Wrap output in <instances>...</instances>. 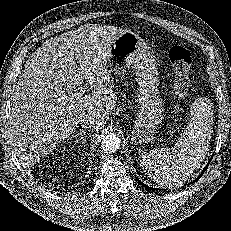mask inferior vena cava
I'll return each instance as SVG.
<instances>
[{
	"mask_svg": "<svg viewBox=\"0 0 231 231\" xmlns=\"http://www.w3.org/2000/svg\"><path fill=\"white\" fill-rule=\"evenodd\" d=\"M96 124V119L90 115H84L80 119V125L82 128H91Z\"/></svg>",
	"mask_w": 231,
	"mask_h": 231,
	"instance_id": "1",
	"label": "inferior vena cava"
}]
</instances>
